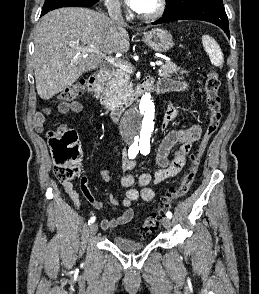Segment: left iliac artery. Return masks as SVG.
<instances>
[{
    "label": "left iliac artery",
    "mask_w": 259,
    "mask_h": 294,
    "mask_svg": "<svg viewBox=\"0 0 259 294\" xmlns=\"http://www.w3.org/2000/svg\"><path fill=\"white\" fill-rule=\"evenodd\" d=\"M140 152L143 155H147L150 152V144L149 143H142L140 144ZM166 216L171 219L172 218V213L170 211H168L166 213Z\"/></svg>",
    "instance_id": "1"
}]
</instances>
